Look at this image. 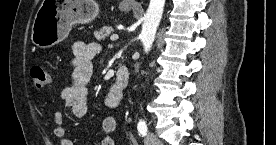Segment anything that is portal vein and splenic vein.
Returning <instances> with one entry per match:
<instances>
[{"instance_id":"portal-vein-and-splenic-vein-1","label":"portal vein and splenic vein","mask_w":276,"mask_h":145,"mask_svg":"<svg viewBox=\"0 0 276 145\" xmlns=\"http://www.w3.org/2000/svg\"><path fill=\"white\" fill-rule=\"evenodd\" d=\"M118 39V35L117 34H113L111 37H110V40L111 41H115Z\"/></svg>"}]
</instances>
